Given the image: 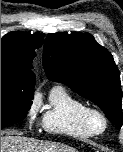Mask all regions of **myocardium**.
<instances>
[{
    "label": "myocardium",
    "mask_w": 123,
    "mask_h": 152,
    "mask_svg": "<svg viewBox=\"0 0 123 152\" xmlns=\"http://www.w3.org/2000/svg\"><path fill=\"white\" fill-rule=\"evenodd\" d=\"M98 117L101 119L103 123V127L101 130H96L92 125V118ZM80 122L82 126L93 136L103 134L108 127V119L106 115L100 111L99 109L93 107H86L80 114Z\"/></svg>",
    "instance_id": "f54148a6"
}]
</instances>
